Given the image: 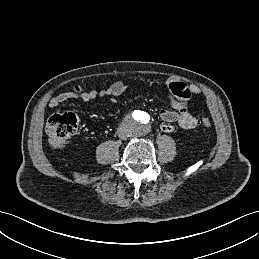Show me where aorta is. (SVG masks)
Returning a JSON list of instances; mask_svg holds the SVG:
<instances>
[{"label": "aorta", "instance_id": "aorta-1", "mask_svg": "<svg viewBox=\"0 0 259 259\" xmlns=\"http://www.w3.org/2000/svg\"><path fill=\"white\" fill-rule=\"evenodd\" d=\"M150 125V116L145 112H142L141 118L132 119L133 132L136 135L147 134L150 130Z\"/></svg>", "mask_w": 259, "mask_h": 259}]
</instances>
